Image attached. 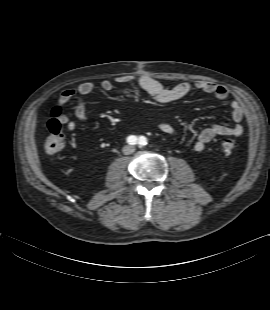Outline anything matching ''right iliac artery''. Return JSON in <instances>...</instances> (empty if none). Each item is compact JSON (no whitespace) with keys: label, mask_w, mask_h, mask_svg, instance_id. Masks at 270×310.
<instances>
[{"label":"right iliac artery","mask_w":270,"mask_h":310,"mask_svg":"<svg viewBox=\"0 0 270 310\" xmlns=\"http://www.w3.org/2000/svg\"><path fill=\"white\" fill-rule=\"evenodd\" d=\"M127 142L131 145H135L137 143V137L131 135L127 138Z\"/></svg>","instance_id":"right-iliac-artery-1"}]
</instances>
